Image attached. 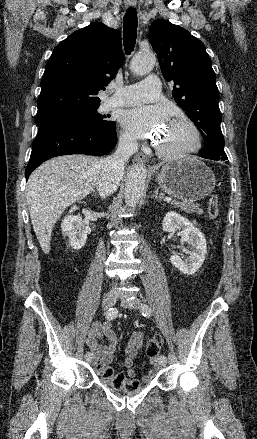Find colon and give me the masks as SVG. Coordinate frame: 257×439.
<instances>
[{
    "label": "colon",
    "mask_w": 257,
    "mask_h": 439,
    "mask_svg": "<svg viewBox=\"0 0 257 439\" xmlns=\"http://www.w3.org/2000/svg\"><path fill=\"white\" fill-rule=\"evenodd\" d=\"M208 217L215 222L219 214V203L217 196H212L208 202ZM163 346V339L160 335L153 336L146 347L149 357L155 358ZM97 372L101 378L116 390L123 392H134L139 387V382L135 379H128L123 373H115L110 367H97Z\"/></svg>",
    "instance_id": "colon-1"
}]
</instances>
